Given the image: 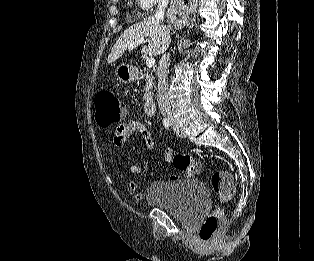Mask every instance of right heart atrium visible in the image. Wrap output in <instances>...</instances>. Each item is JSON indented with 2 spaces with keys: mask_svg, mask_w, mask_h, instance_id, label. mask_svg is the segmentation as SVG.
I'll return each instance as SVG.
<instances>
[{
  "mask_svg": "<svg viewBox=\"0 0 314 261\" xmlns=\"http://www.w3.org/2000/svg\"><path fill=\"white\" fill-rule=\"evenodd\" d=\"M164 0H137L138 4L145 11H150L155 5L161 3Z\"/></svg>",
  "mask_w": 314,
  "mask_h": 261,
  "instance_id": "obj_1",
  "label": "right heart atrium"
}]
</instances>
